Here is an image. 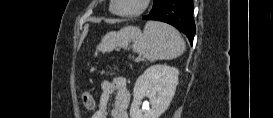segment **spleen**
<instances>
[{
	"instance_id": "obj_1",
	"label": "spleen",
	"mask_w": 273,
	"mask_h": 118,
	"mask_svg": "<svg viewBox=\"0 0 273 118\" xmlns=\"http://www.w3.org/2000/svg\"><path fill=\"white\" fill-rule=\"evenodd\" d=\"M131 41L133 51L150 62L174 59L185 51V42L180 33L175 28L156 21H148L143 32L134 26L109 32L102 39L98 50L111 52L116 47L127 48Z\"/></svg>"
}]
</instances>
